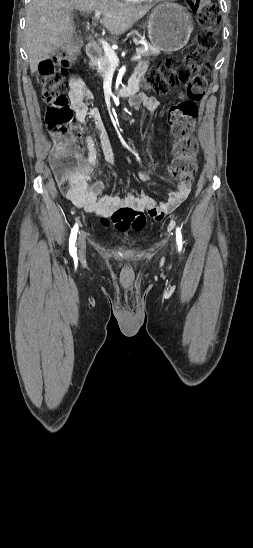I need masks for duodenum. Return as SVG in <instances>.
Listing matches in <instances>:
<instances>
[{
	"instance_id": "obj_1",
	"label": "duodenum",
	"mask_w": 253,
	"mask_h": 548,
	"mask_svg": "<svg viewBox=\"0 0 253 548\" xmlns=\"http://www.w3.org/2000/svg\"><path fill=\"white\" fill-rule=\"evenodd\" d=\"M87 55L90 59H97L100 55V49L95 44H90L87 47ZM139 89L138 79L131 80L129 84L125 87H122L116 91V95L121 97H132L134 96Z\"/></svg>"
}]
</instances>
